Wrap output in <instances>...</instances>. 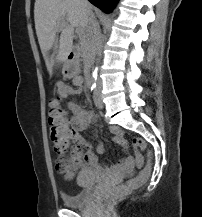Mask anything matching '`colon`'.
<instances>
[{
	"label": "colon",
	"instance_id": "colon-1",
	"mask_svg": "<svg viewBox=\"0 0 202 217\" xmlns=\"http://www.w3.org/2000/svg\"><path fill=\"white\" fill-rule=\"evenodd\" d=\"M48 125L53 150L59 158L57 170L66 177H71L78 162L77 157L80 154L79 145L75 141L73 144H70L67 120L64 111L57 100H53L50 103ZM133 145L136 148L147 151L148 155L150 154L147 144L143 139L135 138L133 140ZM151 172L150 164L142 167L137 177L130 179L126 184L115 186L112 191L103 198V203L110 204L131 189L142 186L150 178Z\"/></svg>",
	"mask_w": 202,
	"mask_h": 217
}]
</instances>
